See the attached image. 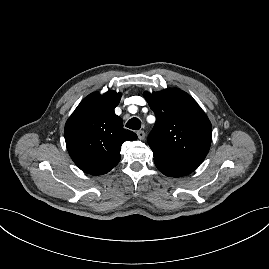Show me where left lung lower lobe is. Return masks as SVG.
I'll return each instance as SVG.
<instances>
[{
	"mask_svg": "<svg viewBox=\"0 0 269 269\" xmlns=\"http://www.w3.org/2000/svg\"><path fill=\"white\" fill-rule=\"evenodd\" d=\"M156 167L167 176L180 177L193 172L200 164L194 162H170L154 157Z\"/></svg>",
	"mask_w": 269,
	"mask_h": 269,
	"instance_id": "0a47b994",
	"label": "left lung lower lobe"
}]
</instances>
